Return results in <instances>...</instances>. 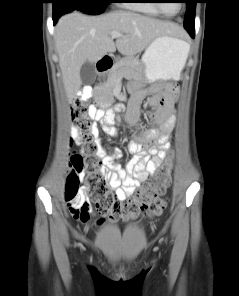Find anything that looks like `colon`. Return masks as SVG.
<instances>
[{"mask_svg":"<svg viewBox=\"0 0 239 296\" xmlns=\"http://www.w3.org/2000/svg\"><path fill=\"white\" fill-rule=\"evenodd\" d=\"M91 89L83 91V99L89 98ZM93 107L85 101L78 100L71 109V116L75 124L76 146L79 151H73L69 157L68 176L65 185V200L74 218L88 221L92 206L104 215L116 217L120 215H136L148 213L152 216L160 215L166 208V201L161 198L169 178V171L173 165V154L170 153L161 169L153 180L149 181L127 201L120 202L109 191L106 179L100 165V155L96 136L95 124L91 116ZM84 182L81 185V182Z\"/></svg>","mask_w":239,"mask_h":296,"instance_id":"colon-1","label":"colon"}]
</instances>
